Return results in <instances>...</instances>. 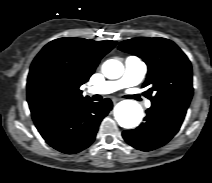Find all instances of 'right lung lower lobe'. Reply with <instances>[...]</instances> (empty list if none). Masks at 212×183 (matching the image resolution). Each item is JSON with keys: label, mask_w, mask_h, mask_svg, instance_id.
<instances>
[{"label": "right lung lower lobe", "mask_w": 212, "mask_h": 183, "mask_svg": "<svg viewBox=\"0 0 212 183\" xmlns=\"http://www.w3.org/2000/svg\"><path fill=\"white\" fill-rule=\"evenodd\" d=\"M111 109L109 99L100 103H58L32 114V117L50 146L60 152L74 154L92 144L100 122Z\"/></svg>", "instance_id": "obj_1"}]
</instances>
